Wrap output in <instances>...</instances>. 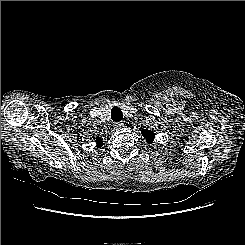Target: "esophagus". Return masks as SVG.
I'll use <instances>...</instances> for the list:
<instances>
[{
    "label": "esophagus",
    "instance_id": "esophagus-1",
    "mask_svg": "<svg viewBox=\"0 0 245 245\" xmlns=\"http://www.w3.org/2000/svg\"><path fill=\"white\" fill-rule=\"evenodd\" d=\"M115 126H116L118 129H122V128H124V123H123V122H116V123H115Z\"/></svg>",
    "mask_w": 245,
    "mask_h": 245
}]
</instances>
